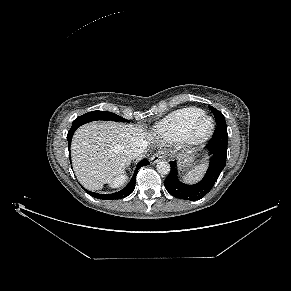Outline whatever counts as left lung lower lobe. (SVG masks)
<instances>
[{
    "label": "left lung lower lobe",
    "mask_w": 291,
    "mask_h": 291,
    "mask_svg": "<svg viewBox=\"0 0 291 291\" xmlns=\"http://www.w3.org/2000/svg\"><path fill=\"white\" fill-rule=\"evenodd\" d=\"M227 129L218 127L213 138L207 144L211 154L209 168L201 181L187 185L179 181L175 163L170 161L171 171L164 181L165 188L174 197L185 200H198L204 197L214 186L225 167L227 158Z\"/></svg>",
    "instance_id": "left-lung-lower-lobe-1"
}]
</instances>
